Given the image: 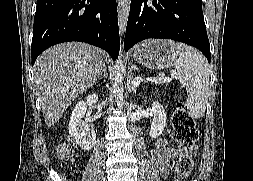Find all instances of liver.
Instances as JSON below:
<instances>
[{"instance_id": "1", "label": "liver", "mask_w": 253, "mask_h": 181, "mask_svg": "<svg viewBox=\"0 0 253 181\" xmlns=\"http://www.w3.org/2000/svg\"><path fill=\"white\" fill-rule=\"evenodd\" d=\"M103 50L81 42H68L44 51L34 64V85L45 123L54 126L71 103L103 73Z\"/></svg>"}]
</instances>
